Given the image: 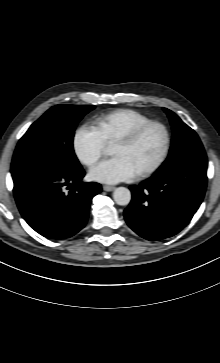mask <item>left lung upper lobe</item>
<instances>
[{"label": "left lung upper lobe", "instance_id": "obj_1", "mask_svg": "<svg viewBox=\"0 0 220 363\" xmlns=\"http://www.w3.org/2000/svg\"><path fill=\"white\" fill-rule=\"evenodd\" d=\"M164 111L170 119L173 137L169 156L160 169L170 167L187 157H206L203 145L195 131L182 122L174 112L166 108Z\"/></svg>", "mask_w": 220, "mask_h": 363}]
</instances>
